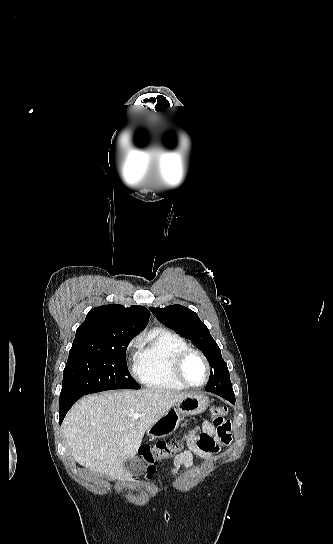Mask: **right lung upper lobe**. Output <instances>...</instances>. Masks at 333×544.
<instances>
[{"mask_svg": "<svg viewBox=\"0 0 333 544\" xmlns=\"http://www.w3.org/2000/svg\"><path fill=\"white\" fill-rule=\"evenodd\" d=\"M149 317V310L137 305L125 308L109 304L93 308L76 330L71 349H105L117 338L137 335L146 327Z\"/></svg>", "mask_w": 333, "mask_h": 544, "instance_id": "obj_1", "label": "right lung upper lobe"}]
</instances>
